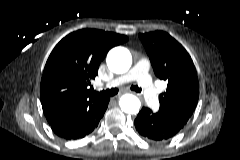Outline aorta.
Wrapping results in <instances>:
<instances>
[{
	"label": "aorta",
	"mask_w": 240,
	"mask_h": 160,
	"mask_svg": "<svg viewBox=\"0 0 240 160\" xmlns=\"http://www.w3.org/2000/svg\"><path fill=\"white\" fill-rule=\"evenodd\" d=\"M108 68L116 73H126L132 64V56L124 47H115L109 51L106 58ZM120 108L128 114H136L139 112L141 103L140 100L132 94H125L120 98Z\"/></svg>",
	"instance_id": "obj_1"
}]
</instances>
